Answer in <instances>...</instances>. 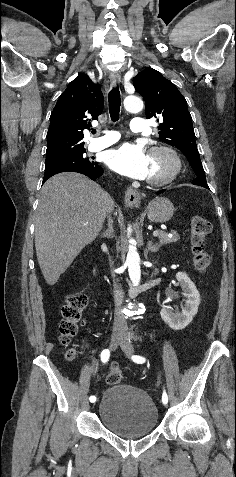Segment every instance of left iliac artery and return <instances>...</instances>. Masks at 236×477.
<instances>
[{"label":"left iliac artery","instance_id":"obj_1","mask_svg":"<svg viewBox=\"0 0 236 477\" xmlns=\"http://www.w3.org/2000/svg\"><path fill=\"white\" fill-rule=\"evenodd\" d=\"M132 360L134 362L138 363V364H142L146 361L144 357L139 356V355H133ZM162 402L163 403L168 402V396H167V393L165 392V390H164L163 395H162Z\"/></svg>","mask_w":236,"mask_h":477}]
</instances>
